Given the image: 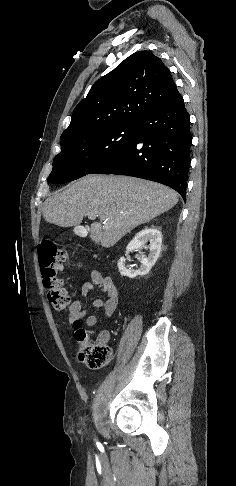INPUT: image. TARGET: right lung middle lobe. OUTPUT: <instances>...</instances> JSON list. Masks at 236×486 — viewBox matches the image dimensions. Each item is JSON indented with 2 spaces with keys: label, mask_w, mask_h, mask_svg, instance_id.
<instances>
[{
  "label": "right lung middle lobe",
  "mask_w": 236,
  "mask_h": 486,
  "mask_svg": "<svg viewBox=\"0 0 236 486\" xmlns=\"http://www.w3.org/2000/svg\"><path fill=\"white\" fill-rule=\"evenodd\" d=\"M135 134L136 123H131L88 131L62 141L48 182L62 184L89 174L128 145Z\"/></svg>",
  "instance_id": "right-lung-middle-lobe-1"
}]
</instances>
